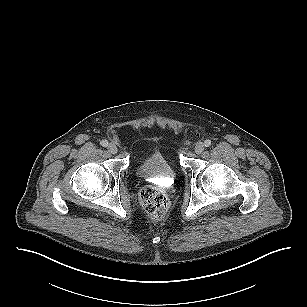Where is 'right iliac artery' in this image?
<instances>
[{
    "instance_id": "82829eb1",
    "label": "right iliac artery",
    "mask_w": 307,
    "mask_h": 307,
    "mask_svg": "<svg viewBox=\"0 0 307 307\" xmlns=\"http://www.w3.org/2000/svg\"><path fill=\"white\" fill-rule=\"evenodd\" d=\"M101 145H102L103 147H107V146H108V141H107V140H102V141H101Z\"/></svg>"
}]
</instances>
